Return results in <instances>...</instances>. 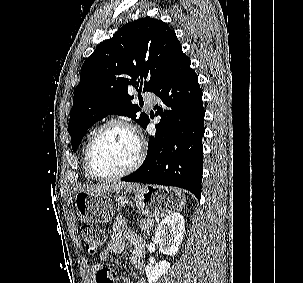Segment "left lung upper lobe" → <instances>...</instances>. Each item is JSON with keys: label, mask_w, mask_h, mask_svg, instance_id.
<instances>
[{"label": "left lung upper lobe", "mask_w": 303, "mask_h": 283, "mask_svg": "<svg viewBox=\"0 0 303 283\" xmlns=\"http://www.w3.org/2000/svg\"><path fill=\"white\" fill-rule=\"evenodd\" d=\"M182 53L174 30L161 20L141 18L122 26L84 62L75 89L69 133L75 152L86 131L109 114L124 115L142 127L148 116L136 113L129 86L156 87Z\"/></svg>", "instance_id": "left-lung-upper-lobe-1"}]
</instances>
